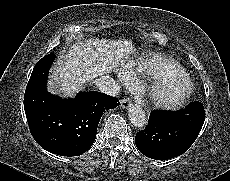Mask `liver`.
Returning a JSON list of instances; mask_svg holds the SVG:
<instances>
[{"mask_svg":"<svg viewBox=\"0 0 230 181\" xmlns=\"http://www.w3.org/2000/svg\"><path fill=\"white\" fill-rule=\"evenodd\" d=\"M127 41L88 39L78 41L53 66L49 88L63 96H73L86 82L112 71L130 54Z\"/></svg>","mask_w":230,"mask_h":181,"instance_id":"obj_1","label":"liver"}]
</instances>
